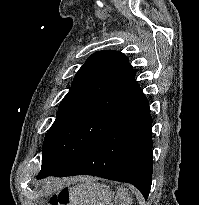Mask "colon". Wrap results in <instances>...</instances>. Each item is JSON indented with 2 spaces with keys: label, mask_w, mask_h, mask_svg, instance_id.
I'll list each match as a JSON object with an SVG mask.
<instances>
[{
  "label": "colon",
  "mask_w": 199,
  "mask_h": 205,
  "mask_svg": "<svg viewBox=\"0 0 199 205\" xmlns=\"http://www.w3.org/2000/svg\"><path fill=\"white\" fill-rule=\"evenodd\" d=\"M60 204V202H57L56 200H54L53 202H52V205H59Z\"/></svg>",
  "instance_id": "colon-1"
}]
</instances>
